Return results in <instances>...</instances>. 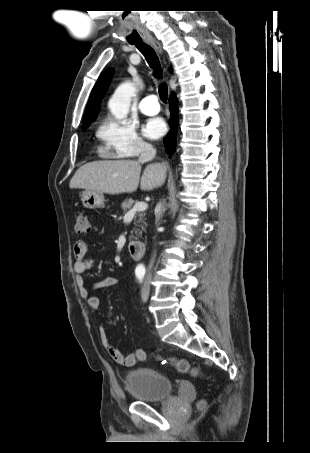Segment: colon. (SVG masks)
Here are the masks:
<instances>
[{
    "instance_id": "1",
    "label": "colon",
    "mask_w": 310,
    "mask_h": 453,
    "mask_svg": "<svg viewBox=\"0 0 310 453\" xmlns=\"http://www.w3.org/2000/svg\"><path fill=\"white\" fill-rule=\"evenodd\" d=\"M75 231L79 234L86 233L89 231V221L87 215L84 212H80L76 216ZM165 361L172 364L179 372L190 374L192 376L201 375L200 370L197 367H193L186 359L180 358H168ZM200 408L204 407V403H200Z\"/></svg>"
}]
</instances>
